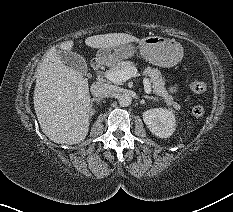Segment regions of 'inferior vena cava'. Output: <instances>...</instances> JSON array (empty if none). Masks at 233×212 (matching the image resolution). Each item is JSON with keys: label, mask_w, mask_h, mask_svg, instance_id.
I'll use <instances>...</instances> for the list:
<instances>
[{"label": "inferior vena cava", "mask_w": 233, "mask_h": 212, "mask_svg": "<svg viewBox=\"0 0 233 212\" xmlns=\"http://www.w3.org/2000/svg\"><path fill=\"white\" fill-rule=\"evenodd\" d=\"M91 93L92 95L98 97V98H108L112 96L113 93H115V86L109 85L107 83L102 82H95L91 85Z\"/></svg>", "instance_id": "1"}]
</instances>
